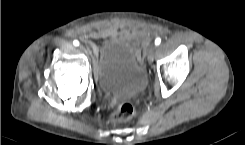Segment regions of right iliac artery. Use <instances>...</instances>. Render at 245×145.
Wrapping results in <instances>:
<instances>
[{
	"label": "right iliac artery",
	"instance_id": "82829eb1",
	"mask_svg": "<svg viewBox=\"0 0 245 145\" xmlns=\"http://www.w3.org/2000/svg\"><path fill=\"white\" fill-rule=\"evenodd\" d=\"M73 44H74L75 46H78V45H79V42H78L77 40H75V41L73 42Z\"/></svg>",
	"mask_w": 245,
	"mask_h": 145
}]
</instances>
